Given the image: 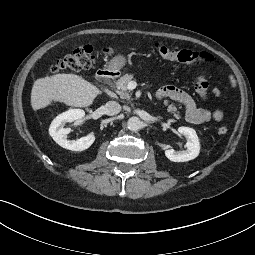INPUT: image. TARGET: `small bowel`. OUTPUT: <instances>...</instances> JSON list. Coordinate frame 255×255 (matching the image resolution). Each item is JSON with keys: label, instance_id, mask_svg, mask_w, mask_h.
Listing matches in <instances>:
<instances>
[{"label": "small bowel", "instance_id": "obj_1", "mask_svg": "<svg viewBox=\"0 0 255 255\" xmlns=\"http://www.w3.org/2000/svg\"><path fill=\"white\" fill-rule=\"evenodd\" d=\"M229 83L232 87H235L236 80L233 75L229 76ZM212 91L217 97L221 95V91L217 86H214ZM156 98L158 100L169 99L179 103L184 108L186 120L192 124H201L209 121L217 122L224 116V111L222 109L208 110L197 107L188 93L172 85L161 88L157 92Z\"/></svg>", "mask_w": 255, "mask_h": 255}]
</instances>
